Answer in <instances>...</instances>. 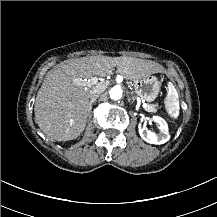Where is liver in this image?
Listing matches in <instances>:
<instances>
[{
	"label": "liver",
	"instance_id": "6515ba94",
	"mask_svg": "<svg viewBox=\"0 0 217 217\" xmlns=\"http://www.w3.org/2000/svg\"><path fill=\"white\" fill-rule=\"evenodd\" d=\"M115 67L118 74L131 81L166 71L155 61L129 56H88L57 65L46 73L34 105L35 123L51 141H70L83 133L89 91L94 86L89 80L110 75Z\"/></svg>",
	"mask_w": 217,
	"mask_h": 217
}]
</instances>
